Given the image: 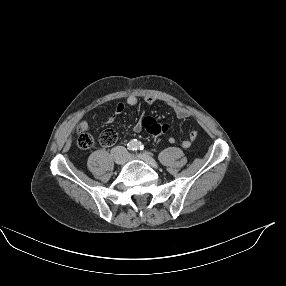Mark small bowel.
<instances>
[{
    "label": "small bowel",
    "mask_w": 286,
    "mask_h": 286,
    "mask_svg": "<svg viewBox=\"0 0 286 286\" xmlns=\"http://www.w3.org/2000/svg\"><path fill=\"white\" fill-rule=\"evenodd\" d=\"M156 101V97L152 96V95H148L144 97V102L147 104H152ZM139 99L137 96L135 95H130L128 96V98L126 99V105L130 106V107H134L138 104ZM125 110V104L124 103H118L116 108H115V112L113 115H111L108 118V122L112 123L115 121V119L124 112ZM173 110L176 114V116L180 119H187L189 117H191V112L181 106H174ZM150 117L147 116H142L139 118V120L135 123L134 125V132L136 133H140L144 130V123L146 121V119H148ZM81 130L86 131L88 129V124L86 121H82L81 125H80ZM198 137V132L196 130H192L189 132L188 137L186 139H184L183 141H181V146L185 149L189 148L192 143L197 139ZM169 142L170 143H176L177 139L173 136L169 137Z\"/></svg>",
    "instance_id": "small-bowel-1"
}]
</instances>
